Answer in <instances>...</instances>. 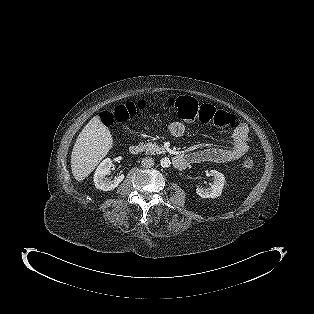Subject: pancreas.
<instances>
[{
  "mask_svg": "<svg viewBox=\"0 0 314 314\" xmlns=\"http://www.w3.org/2000/svg\"><path fill=\"white\" fill-rule=\"evenodd\" d=\"M143 149L147 155L164 154L166 152L163 147L152 142L143 145Z\"/></svg>",
  "mask_w": 314,
  "mask_h": 314,
  "instance_id": "cf45deb5",
  "label": "pancreas"
}]
</instances>
